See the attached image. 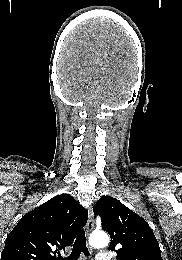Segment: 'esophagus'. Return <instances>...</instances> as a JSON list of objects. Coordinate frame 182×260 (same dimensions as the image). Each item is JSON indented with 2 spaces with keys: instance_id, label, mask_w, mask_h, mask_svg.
<instances>
[{
  "instance_id": "1",
  "label": "esophagus",
  "mask_w": 182,
  "mask_h": 260,
  "mask_svg": "<svg viewBox=\"0 0 182 260\" xmlns=\"http://www.w3.org/2000/svg\"><path fill=\"white\" fill-rule=\"evenodd\" d=\"M93 228H94V218H93L92 207H90L89 212H88V221H87V225H86V231H87L88 235L93 230Z\"/></svg>"
}]
</instances>
